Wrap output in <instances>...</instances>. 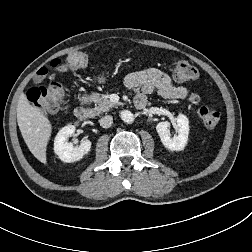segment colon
<instances>
[{"label": "colon", "mask_w": 252, "mask_h": 252, "mask_svg": "<svg viewBox=\"0 0 252 252\" xmlns=\"http://www.w3.org/2000/svg\"><path fill=\"white\" fill-rule=\"evenodd\" d=\"M89 63V56L85 52L77 51L70 54L66 59H55L51 62V68L63 70L66 67L71 69H82ZM172 74L174 79L180 82L190 81L198 77V69L184 59H176L173 62ZM39 77L51 78L47 69L43 68L38 73ZM28 100L36 107L44 111L58 109L64 102V88L58 81H51L47 86H34L28 91ZM192 103L199 105L200 96L192 94ZM198 116L204 126L215 127L220 120V112L213 106H199Z\"/></svg>", "instance_id": "5ec220e1"}]
</instances>
